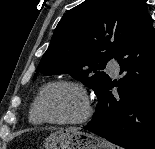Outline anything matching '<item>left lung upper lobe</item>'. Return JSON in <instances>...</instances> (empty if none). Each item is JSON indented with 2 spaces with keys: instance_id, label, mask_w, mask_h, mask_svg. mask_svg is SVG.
Segmentation results:
<instances>
[{
  "instance_id": "5c2ea615",
  "label": "left lung upper lobe",
  "mask_w": 155,
  "mask_h": 149,
  "mask_svg": "<svg viewBox=\"0 0 155 149\" xmlns=\"http://www.w3.org/2000/svg\"><path fill=\"white\" fill-rule=\"evenodd\" d=\"M146 1L85 0L72 8L54 30L36 73L69 74L98 95L111 81L101 72L106 62L115 58L149 16Z\"/></svg>"
}]
</instances>
